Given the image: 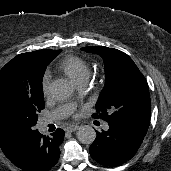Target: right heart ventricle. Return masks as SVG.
<instances>
[{
	"mask_svg": "<svg viewBox=\"0 0 171 171\" xmlns=\"http://www.w3.org/2000/svg\"><path fill=\"white\" fill-rule=\"evenodd\" d=\"M60 70L76 84L86 81L90 75V68L85 60L77 56H67L59 64Z\"/></svg>",
	"mask_w": 171,
	"mask_h": 171,
	"instance_id": "obj_1",
	"label": "right heart ventricle"
}]
</instances>
